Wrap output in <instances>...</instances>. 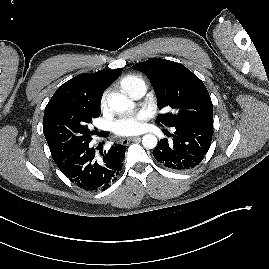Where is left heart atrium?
Returning <instances> with one entry per match:
<instances>
[{"label": "left heart atrium", "mask_w": 269, "mask_h": 269, "mask_svg": "<svg viewBox=\"0 0 269 269\" xmlns=\"http://www.w3.org/2000/svg\"><path fill=\"white\" fill-rule=\"evenodd\" d=\"M146 117L145 112H140L135 116L120 119L114 124V132L119 136L137 134L142 130Z\"/></svg>", "instance_id": "39dd6f15"}]
</instances>
